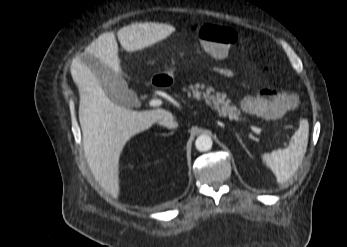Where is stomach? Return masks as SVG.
<instances>
[{
    "label": "stomach",
    "mask_w": 347,
    "mask_h": 247,
    "mask_svg": "<svg viewBox=\"0 0 347 247\" xmlns=\"http://www.w3.org/2000/svg\"><path fill=\"white\" fill-rule=\"evenodd\" d=\"M164 76L170 78V79H173V72L170 70V71H167L163 74Z\"/></svg>",
    "instance_id": "obj_1"
}]
</instances>
